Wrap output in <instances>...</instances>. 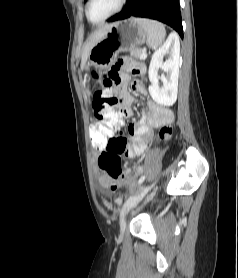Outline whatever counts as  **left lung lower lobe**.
Here are the masks:
<instances>
[{
	"instance_id": "left-lung-lower-lobe-1",
	"label": "left lung lower lobe",
	"mask_w": 238,
	"mask_h": 278,
	"mask_svg": "<svg viewBox=\"0 0 238 278\" xmlns=\"http://www.w3.org/2000/svg\"><path fill=\"white\" fill-rule=\"evenodd\" d=\"M132 16L163 22L176 30L183 38L179 0H127L123 11L109 18L108 22Z\"/></svg>"
}]
</instances>
